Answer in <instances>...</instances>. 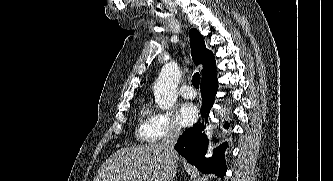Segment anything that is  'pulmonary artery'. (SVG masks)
Listing matches in <instances>:
<instances>
[{
  "instance_id": "obj_1",
  "label": "pulmonary artery",
  "mask_w": 333,
  "mask_h": 181,
  "mask_svg": "<svg viewBox=\"0 0 333 181\" xmlns=\"http://www.w3.org/2000/svg\"><path fill=\"white\" fill-rule=\"evenodd\" d=\"M180 94L185 99H193L196 97V91L189 84H185L180 88Z\"/></svg>"
}]
</instances>
